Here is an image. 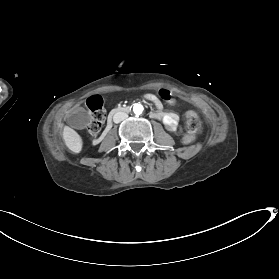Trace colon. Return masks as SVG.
<instances>
[{"label":"colon","mask_w":279,"mask_h":279,"mask_svg":"<svg viewBox=\"0 0 279 279\" xmlns=\"http://www.w3.org/2000/svg\"><path fill=\"white\" fill-rule=\"evenodd\" d=\"M105 122V112L104 110L100 107L93 111L87 131L90 135H97ZM185 124L186 128L188 131V135L184 138L186 143L192 142L194 135L200 130L201 123L199 116L196 112L194 111H188L185 114Z\"/></svg>","instance_id":"colon-1"}]
</instances>
